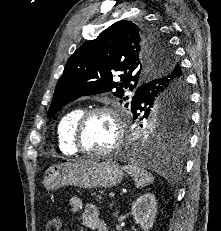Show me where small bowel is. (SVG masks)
<instances>
[{
	"instance_id": "small-bowel-1",
	"label": "small bowel",
	"mask_w": 221,
	"mask_h": 231,
	"mask_svg": "<svg viewBox=\"0 0 221 231\" xmlns=\"http://www.w3.org/2000/svg\"><path fill=\"white\" fill-rule=\"evenodd\" d=\"M70 211L73 214L83 209L82 221L85 227L92 231H108L105 221L99 215L98 207L93 203L83 205L79 197H72L69 201ZM69 231V230H65Z\"/></svg>"
}]
</instances>
